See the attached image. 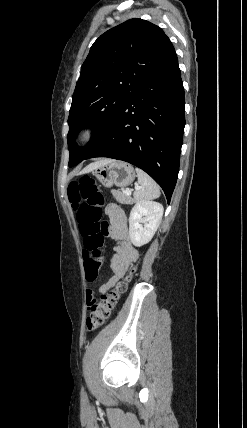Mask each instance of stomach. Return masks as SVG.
Wrapping results in <instances>:
<instances>
[{
	"label": "stomach",
	"mask_w": 247,
	"mask_h": 428,
	"mask_svg": "<svg viewBox=\"0 0 247 428\" xmlns=\"http://www.w3.org/2000/svg\"><path fill=\"white\" fill-rule=\"evenodd\" d=\"M93 175L107 188L113 185L126 187L134 181L136 176L131 164L115 160L94 169Z\"/></svg>",
	"instance_id": "stomach-1"
}]
</instances>
